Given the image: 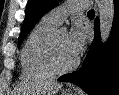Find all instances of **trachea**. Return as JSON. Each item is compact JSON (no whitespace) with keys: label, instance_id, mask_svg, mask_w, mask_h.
<instances>
[{"label":"trachea","instance_id":"1","mask_svg":"<svg viewBox=\"0 0 119 95\" xmlns=\"http://www.w3.org/2000/svg\"><path fill=\"white\" fill-rule=\"evenodd\" d=\"M94 14H95L94 10H89V11H88V15H89V16H94Z\"/></svg>","mask_w":119,"mask_h":95}]
</instances>
